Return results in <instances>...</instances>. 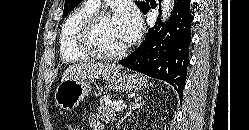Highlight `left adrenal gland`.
Instances as JSON below:
<instances>
[{"label": "left adrenal gland", "instance_id": "left-adrenal-gland-1", "mask_svg": "<svg viewBox=\"0 0 249 130\" xmlns=\"http://www.w3.org/2000/svg\"><path fill=\"white\" fill-rule=\"evenodd\" d=\"M142 98L141 97H137L135 98L134 102L131 103L128 107V112L126 113V115L124 117H122L119 122L117 123L116 125V128L119 129L120 128V125L132 114V112L136 109H140L143 104H144V101H142Z\"/></svg>", "mask_w": 249, "mask_h": 130}]
</instances>
